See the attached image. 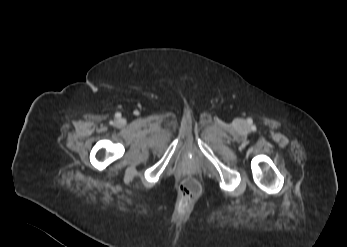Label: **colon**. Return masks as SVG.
I'll return each instance as SVG.
<instances>
[{
    "mask_svg": "<svg viewBox=\"0 0 347 247\" xmlns=\"http://www.w3.org/2000/svg\"><path fill=\"white\" fill-rule=\"evenodd\" d=\"M181 192L189 198H193L200 193V186L197 178L193 175H187L183 178L181 185Z\"/></svg>",
    "mask_w": 347,
    "mask_h": 247,
    "instance_id": "obj_1",
    "label": "colon"
}]
</instances>
